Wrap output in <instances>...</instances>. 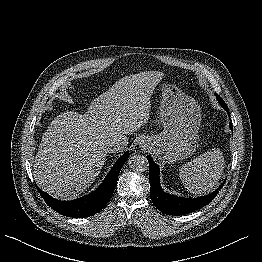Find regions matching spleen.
Segmentation results:
<instances>
[{"label":"spleen","mask_w":262,"mask_h":262,"mask_svg":"<svg viewBox=\"0 0 262 262\" xmlns=\"http://www.w3.org/2000/svg\"><path fill=\"white\" fill-rule=\"evenodd\" d=\"M224 162L220 149L214 148L180 167L179 177L187 190L201 194L217 185Z\"/></svg>","instance_id":"obj_1"}]
</instances>
